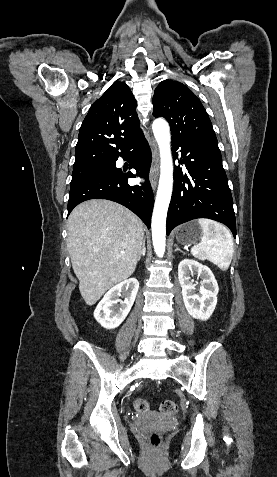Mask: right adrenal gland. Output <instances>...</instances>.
Segmentation results:
<instances>
[{
	"label": "right adrenal gland",
	"instance_id": "obj_1",
	"mask_svg": "<svg viewBox=\"0 0 277 477\" xmlns=\"http://www.w3.org/2000/svg\"><path fill=\"white\" fill-rule=\"evenodd\" d=\"M145 252H146V247H145V238H144L142 242V249L140 251L137 261L141 259V256H145Z\"/></svg>",
	"mask_w": 277,
	"mask_h": 477
}]
</instances>
